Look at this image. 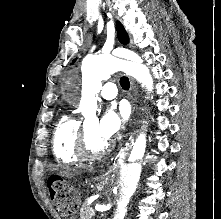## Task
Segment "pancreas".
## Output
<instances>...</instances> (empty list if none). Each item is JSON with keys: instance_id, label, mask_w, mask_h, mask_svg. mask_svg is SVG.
Instances as JSON below:
<instances>
[{"instance_id": "obj_1", "label": "pancreas", "mask_w": 221, "mask_h": 219, "mask_svg": "<svg viewBox=\"0 0 221 219\" xmlns=\"http://www.w3.org/2000/svg\"><path fill=\"white\" fill-rule=\"evenodd\" d=\"M92 211V207L87 202H84L79 213L80 219H91L95 214Z\"/></svg>"}]
</instances>
